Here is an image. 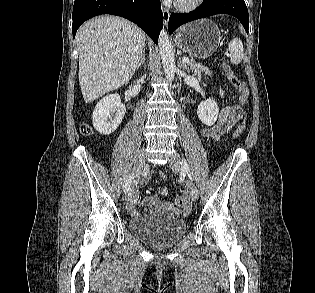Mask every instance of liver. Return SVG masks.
Masks as SVG:
<instances>
[{"label":"liver","instance_id":"6515ba94","mask_svg":"<svg viewBox=\"0 0 315 293\" xmlns=\"http://www.w3.org/2000/svg\"><path fill=\"white\" fill-rule=\"evenodd\" d=\"M144 32L116 16L91 19L76 34L79 83L86 103L124 86L134 75L145 47Z\"/></svg>","mask_w":315,"mask_h":293}]
</instances>
